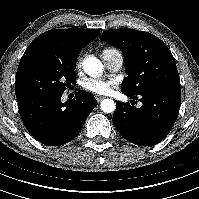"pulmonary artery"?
Listing matches in <instances>:
<instances>
[{
	"label": "pulmonary artery",
	"instance_id": "e3ab8cb5",
	"mask_svg": "<svg viewBox=\"0 0 199 199\" xmlns=\"http://www.w3.org/2000/svg\"><path fill=\"white\" fill-rule=\"evenodd\" d=\"M102 58L107 68L112 72L119 71L123 66L124 58L122 53L118 50H105L102 53Z\"/></svg>",
	"mask_w": 199,
	"mask_h": 199
}]
</instances>
